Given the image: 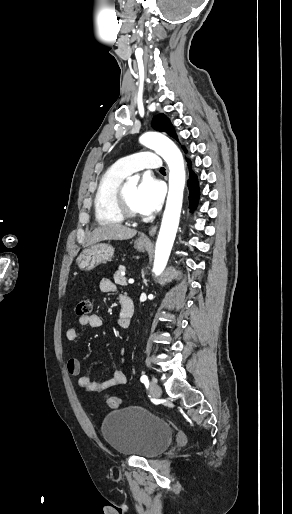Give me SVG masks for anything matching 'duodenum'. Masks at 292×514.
I'll use <instances>...</instances> for the list:
<instances>
[{
  "label": "duodenum",
  "mask_w": 292,
  "mask_h": 514,
  "mask_svg": "<svg viewBox=\"0 0 292 514\" xmlns=\"http://www.w3.org/2000/svg\"><path fill=\"white\" fill-rule=\"evenodd\" d=\"M119 302H120V306H121L122 310L124 311V313L126 314L127 318L128 319L130 318V323H131V319L134 315L133 299L130 296L122 295L119 298ZM129 328H130V326L127 329H129Z\"/></svg>",
  "instance_id": "1"
}]
</instances>
